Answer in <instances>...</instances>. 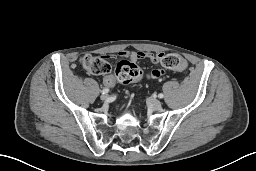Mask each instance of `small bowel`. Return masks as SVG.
Here are the masks:
<instances>
[{
  "instance_id": "c3829d8e",
  "label": "small bowel",
  "mask_w": 256,
  "mask_h": 171,
  "mask_svg": "<svg viewBox=\"0 0 256 171\" xmlns=\"http://www.w3.org/2000/svg\"><path fill=\"white\" fill-rule=\"evenodd\" d=\"M165 54L160 52L157 54H152L150 52H145V51H122L119 53L120 57L128 58L132 61H139V60H144L148 59L153 63H160L161 59L163 58ZM110 57V56H108ZM187 67V63L185 62L183 68H181L179 71L185 70ZM164 75V71L161 69H155L152 72H150L147 77L152 80H157L161 78ZM103 83L106 87H113L116 84V79L115 76L112 74L106 75L103 78Z\"/></svg>"
}]
</instances>
